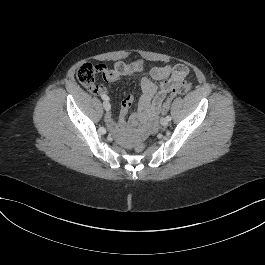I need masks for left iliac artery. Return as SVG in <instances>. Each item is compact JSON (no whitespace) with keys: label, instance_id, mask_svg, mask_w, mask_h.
<instances>
[{"label":"left iliac artery","instance_id":"left-iliac-artery-1","mask_svg":"<svg viewBox=\"0 0 265 265\" xmlns=\"http://www.w3.org/2000/svg\"><path fill=\"white\" fill-rule=\"evenodd\" d=\"M166 119H167L168 121H171L172 118H171V116L168 115V116H166Z\"/></svg>","mask_w":265,"mask_h":265}]
</instances>
